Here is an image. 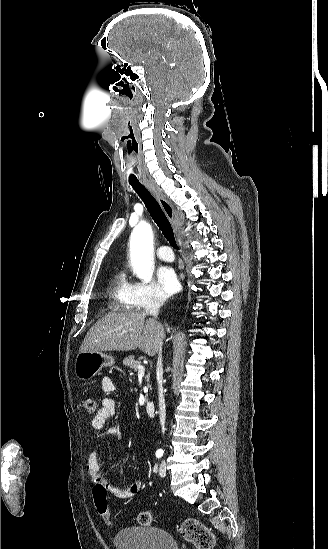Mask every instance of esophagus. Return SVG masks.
<instances>
[{
    "mask_svg": "<svg viewBox=\"0 0 328 549\" xmlns=\"http://www.w3.org/2000/svg\"><path fill=\"white\" fill-rule=\"evenodd\" d=\"M143 183L145 187L151 192L153 197H155L159 205L161 206L163 212L165 213L167 219L169 220L170 224L174 229L175 235L178 236L180 227L178 222V216L176 211L174 210L173 205L169 202V200H167L164 197V195L149 180H143Z\"/></svg>",
    "mask_w": 328,
    "mask_h": 549,
    "instance_id": "esophagus-1",
    "label": "esophagus"
}]
</instances>
